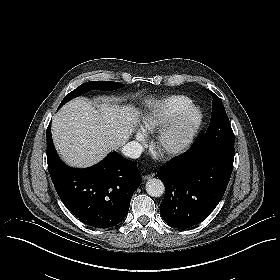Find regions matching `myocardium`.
Wrapping results in <instances>:
<instances>
[{"label":"myocardium","mask_w":280,"mask_h":280,"mask_svg":"<svg viewBox=\"0 0 280 280\" xmlns=\"http://www.w3.org/2000/svg\"><path fill=\"white\" fill-rule=\"evenodd\" d=\"M201 122L198 110L191 107L183 119L176 118L161 130L154 142L153 152L159 157L177 154L189 144Z\"/></svg>","instance_id":"f54148a6"}]
</instances>
